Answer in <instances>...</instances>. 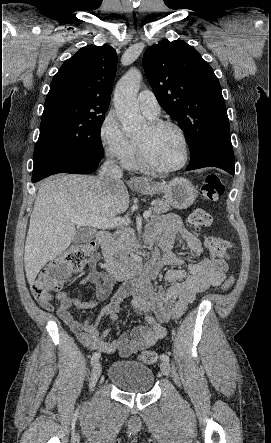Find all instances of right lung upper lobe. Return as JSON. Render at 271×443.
Here are the masks:
<instances>
[{
    "label": "right lung upper lobe",
    "mask_w": 271,
    "mask_h": 443,
    "mask_svg": "<svg viewBox=\"0 0 271 443\" xmlns=\"http://www.w3.org/2000/svg\"><path fill=\"white\" fill-rule=\"evenodd\" d=\"M117 54L108 45H89L66 60L53 77L45 104L72 101L94 109H108Z\"/></svg>",
    "instance_id": "cb5924a9"
}]
</instances>
